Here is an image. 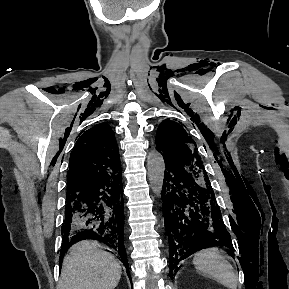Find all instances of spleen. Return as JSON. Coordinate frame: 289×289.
Returning a JSON list of instances; mask_svg holds the SVG:
<instances>
[{
  "mask_svg": "<svg viewBox=\"0 0 289 289\" xmlns=\"http://www.w3.org/2000/svg\"><path fill=\"white\" fill-rule=\"evenodd\" d=\"M198 272L228 289H237V275L233 266L218 248H207L197 252L193 259Z\"/></svg>",
  "mask_w": 289,
  "mask_h": 289,
  "instance_id": "obj_1",
  "label": "spleen"
}]
</instances>
